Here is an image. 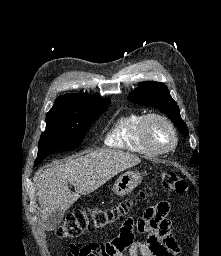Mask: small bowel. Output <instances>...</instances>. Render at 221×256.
<instances>
[{"label": "small bowel", "mask_w": 221, "mask_h": 256, "mask_svg": "<svg viewBox=\"0 0 221 256\" xmlns=\"http://www.w3.org/2000/svg\"><path fill=\"white\" fill-rule=\"evenodd\" d=\"M169 204L159 202L148 208L138 220L128 219L117 237L102 243L86 244L69 256H180V248L167 218ZM135 232L146 236V241L135 239Z\"/></svg>", "instance_id": "1"}]
</instances>
